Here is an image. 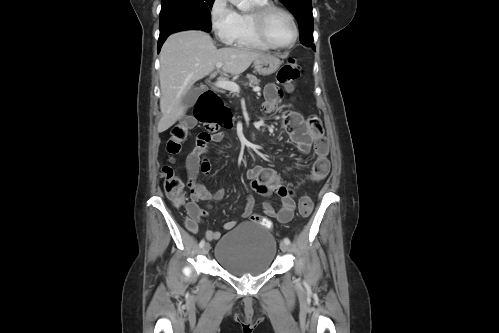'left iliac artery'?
Listing matches in <instances>:
<instances>
[{
	"instance_id": "44dca946",
	"label": "left iliac artery",
	"mask_w": 499,
	"mask_h": 333,
	"mask_svg": "<svg viewBox=\"0 0 499 333\" xmlns=\"http://www.w3.org/2000/svg\"><path fill=\"white\" fill-rule=\"evenodd\" d=\"M283 241H284L286 244H288V245L290 244V239H289V238H287V237H286V238H284V240H283Z\"/></svg>"
}]
</instances>
